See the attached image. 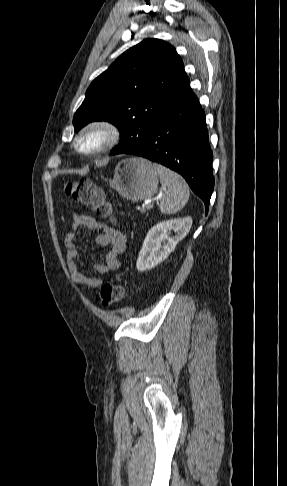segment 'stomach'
<instances>
[{
    "label": "stomach",
    "mask_w": 287,
    "mask_h": 486,
    "mask_svg": "<svg viewBox=\"0 0 287 486\" xmlns=\"http://www.w3.org/2000/svg\"><path fill=\"white\" fill-rule=\"evenodd\" d=\"M159 174L154 164L140 157L121 160L109 181L123 198L137 202L151 198L158 186Z\"/></svg>",
    "instance_id": "1"
}]
</instances>
